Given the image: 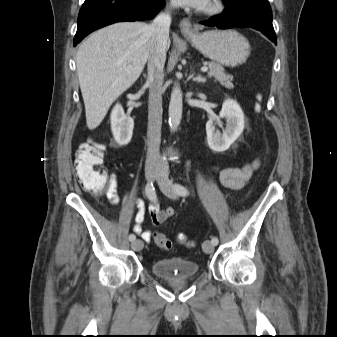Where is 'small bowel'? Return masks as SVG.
Returning a JSON list of instances; mask_svg holds the SVG:
<instances>
[{"label":"small bowel","instance_id":"obj_1","mask_svg":"<svg viewBox=\"0 0 337 337\" xmlns=\"http://www.w3.org/2000/svg\"><path fill=\"white\" fill-rule=\"evenodd\" d=\"M259 166L260 160L259 158H255L253 161L245 163L241 167H227L219 171L216 166H213V170L219 174V180L223 186L229 189L237 190L241 189L245 185L252 173ZM117 186V177L115 174H111L105 195L112 205H118L120 203V198L117 193ZM135 204L138 212L135 217L134 232L139 235L143 241L150 243L154 238V233L151 230L143 229L142 226L146 213L145 204L142 200L139 199L135 200ZM148 212L154 226L161 225L166 220L173 218L175 215V211L172 208L160 210L156 201L149 206Z\"/></svg>","mask_w":337,"mask_h":337}]
</instances>
